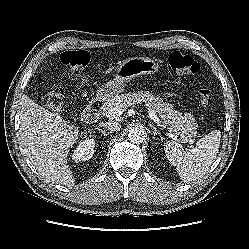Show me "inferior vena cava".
<instances>
[{
  "instance_id": "602c4592",
  "label": "inferior vena cava",
  "mask_w": 249,
  "mask_h": 249,
  "mask_svg": "<svg viewBox=\"0 0 249 249\" xmlns=\"http://www.w3.org/2000/svg\"><path fill=\"white\" fill-rule=\"evenodd\" d=\"M100 127L109 130V131H118L121 128V125L118 122H102Z\"/></svg>"
}]
</instances>
